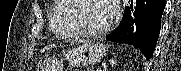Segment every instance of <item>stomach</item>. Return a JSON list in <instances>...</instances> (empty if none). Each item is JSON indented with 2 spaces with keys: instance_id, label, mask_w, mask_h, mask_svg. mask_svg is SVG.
<instances>
[{
  "instance_id": "obj_1",
  "label": "stomach",
  "mask_w": 181,
  "mask_h": 71,
  "mask_svg": "<svg viewBox=\"0 0 181 71\" xmlns=\"http://www.w3.org/2000/svg\"><path fill=\"white\" fill-rule=\"evenodd\" d=\"M106 51V47L102 44L86 43L66 52L64 57L71 65H87L99 62L106 55ZM41 69L42 71H56L54 69L58 67H48L45 64Z\"/></svg>"
}]
</instances>
